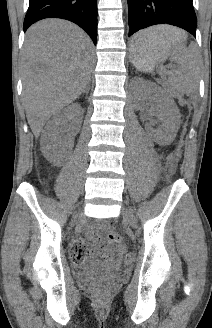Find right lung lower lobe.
Wrapping results in <instances>:
<instances>
[{
    "label": "right lung lower lobe",
    "instance_id": "98d812e1",
    "mask_svg": "<svg viewBox=\"0 0 212 328\" xmlns=\"http://www.w3.org/2000/svg\"><path fill=\"white\" fill-rule=\"evenodd\" d=\"M49 17L67 19L76 23L96 44L97 0H29L24 31L33 23Z\"/></svg>",
    "mask_w": 212,
    "mask_h": 328
}]
</instances>
